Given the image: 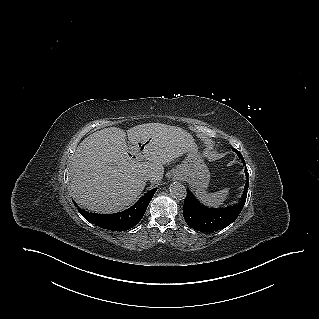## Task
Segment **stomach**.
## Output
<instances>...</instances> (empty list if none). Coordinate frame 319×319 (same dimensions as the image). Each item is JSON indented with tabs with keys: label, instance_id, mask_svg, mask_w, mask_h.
Segmentation results:
<instances>
[{
	"label": "stomach",
	"instance_id": "0dacf381",
	"mask_svg": "<svg viewBox=\"0 0 319 319\" xmlns=\"http://www.w3.org/2000/svg\"><path fill=\"white\" fill-rule=\"evenodd\" d=\"M175 175L187 180L195 191L205 190L210 182L209 169L197 151L187 153L182 164L177 166Z\"/></svg>",
	"mask_w": 319,
	"mask_h": 319
}]
</instances>
